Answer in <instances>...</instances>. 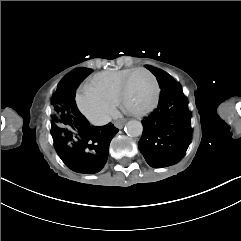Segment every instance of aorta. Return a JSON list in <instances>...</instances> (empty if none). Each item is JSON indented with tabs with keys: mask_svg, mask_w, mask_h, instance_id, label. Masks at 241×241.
Instances as JSON below:
<instances>
[{
	"mask_svg": "<svg viewBox=\"0 0 241 241\" xmlns=\"http://www.w3.org/2000/svg\"><path fill=\"white\" fill-rule=\"evenodd\" d=\"M125 132L130 137H138L142 135L143 126L140 121L130 120L125 126Z\"/></svg>",
	"mask_w": 241,
	"mask_h": 241,
	"instance_id": "obj_1",
	"label": "aorta"
}]
</instances>
